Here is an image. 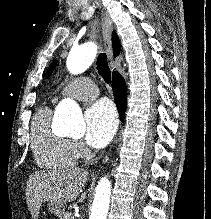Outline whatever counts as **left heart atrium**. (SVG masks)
<instances>
[{"mask_svg": "<svg viewBox=\"0 0 211 219\" xmlns=\"http://www.w3.org/2000/svg\"><path fill=\"white\" fill-rule=\"evenodd\" d=\"M88 144L103 147L113 138L118 124L117 114L108 101L102 100L93 104L85 113Z\"/></svg>", "mask_w": 211, "mask_h": 219, "instance_id": "obj_1", "label": "left heart atrium"}]
</instances>
